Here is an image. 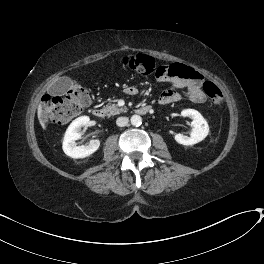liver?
Wrapping results in <instances>:
<instances>
[{
  "label": "liver",
  "instance_id": "1",
  "mask_svg": "<svg viewBox=\"0 0 264 264\" xmlns=\"http://www.w3.org/2000/svg\"><path fill=\"white\" fill-rule=\"evenodd\" d=\"M38 115H39V120H40V123H41L43 129H46L47 126H46L45 120L42 119V116H43L42 106H40V108H39Z\"/></svg>",
  "mask_w": 264,
  "mask_h": 264
}]
</instances>
